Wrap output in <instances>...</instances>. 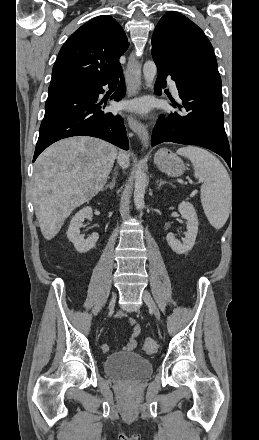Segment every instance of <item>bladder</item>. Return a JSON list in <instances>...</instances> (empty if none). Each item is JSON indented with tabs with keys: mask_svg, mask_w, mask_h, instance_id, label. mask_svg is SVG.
I'll list each match as a JSON object with an SVG mask.
<instances>
[{
	"mask_svg": "<svg viewBox=\"0 0 259 440\" xmlns=\"http://www.w3.org/2000/svg\"><path fill=\"white\" fill-rule=\"evenodd\" d=\"M103 368L108 377L121 381H141L153 371L150 360L135 352L112 353L105 358Z\"/></svg>",
	"mask_w": 259,
	"mask_h": 440,
	"instance_id": "1",
	"label": "bladder"
}]
</instances>
